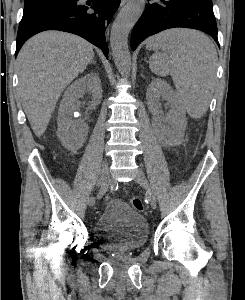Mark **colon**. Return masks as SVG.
Wrapping results in <instances>:
<instances>
[{
	"label": "colon",
	"mask_w": 245,
	"mask_h": 300,
	"mask_svg": "<svg viewBox=\"0 0 245 300\" xmlns=\"http://www.w3.org/2000/svg\"><path fill=\"white\" fill-rule=\"evenodd\" d=\"M130 203H131V206L133 207V209L136 211H142L144 208V202L139 197L131 198Z\"/></svg>",
	"instance_id": "1"
}]
</instances>
